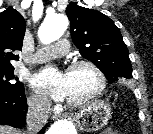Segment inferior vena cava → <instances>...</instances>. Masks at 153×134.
<instances>
[{"label":"inferior vena cava","mask_w":153,"mask_h":134,"mask_svg":"<svg viewBox=\"0 0 153 134\" xmlns=\"http://www.w3.org/2000/svg\"><path fill=\"white\" fill-rule=\"evenodd\" d=\"M50 102L47 98L36 97L28 101L26 115L27 133L37 134L46 124L49 117Z\"/></svg>","instance_id":"1"}]
</instances>
